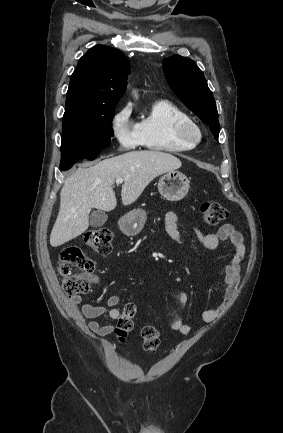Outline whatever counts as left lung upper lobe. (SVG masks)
Listing matches in <instances>:
<instances>
[{
  "label": "left lung upper lobe",
  "mask_w": 283,
  "mask_h": 433,
  "mask_svg": "<svg viewBox=\"0 0 283 433\" xmlns=\"http://www.w3.org/2000/svg\"><path fill=\"white\" fill-rule=\"evenodd\" d=\"M162 65L173 92L205 124L211 125V131L218 140L220 125L217 108L203 72L193 60L180 55L163 60Z\"/></svg>",
  "instance_id": "left-lung-upper-lobe-1"
}]
</instances>
